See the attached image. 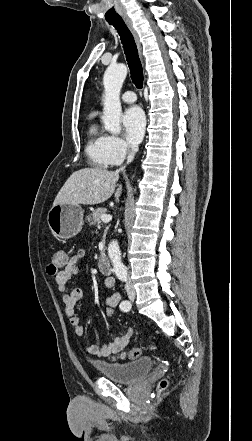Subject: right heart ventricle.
<instances>
[{
  "label": "right heart ventricle",
  "mask_w": 252,
  "mask_h": 441,
  "mask_svg": "<svg viewBox=\"0 0 252 441\" xmlns=\"http://www.w3.org/2000/svg\"><path fill=\"white\" fill-rule=\"evenodd\" d=\"M85 152L91 164L96 167L107 168L112 165L106 151V135L94 121L88 126Z\"/></svg>",
  "instance_id": "obj_1"
}]
</instances>
